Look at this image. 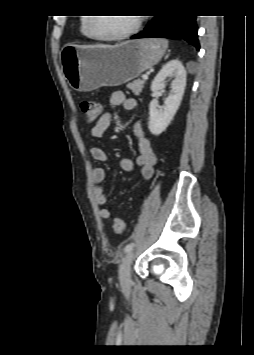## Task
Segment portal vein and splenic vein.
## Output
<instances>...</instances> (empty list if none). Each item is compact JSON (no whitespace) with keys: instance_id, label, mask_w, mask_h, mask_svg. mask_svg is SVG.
Masks as SVG:
<instances>
[{"instance_id":"1","label":"portal vein and splenic vein","mask_w":254,"mask_h":355,"mask_svg":"<svg viewBox=\"0 0 254 355\" xmlns=\"http://www.w3.org/2000/svg\"><path fill=\"white\" fill-rule=\"evenodd\" d=\"M142 78H143L144 80H147V79H148V76H147V75H143Z\"/></svg>"}]
</instances>
